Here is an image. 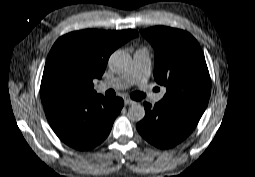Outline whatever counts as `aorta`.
<instances>
[{
  "instance_id": "aorta-1",
  "label": "aorta",
  "mask_w": 255,
  "mask_h": 177,
  "mask_svg": "<svg viewBox=\"0 0 255 177\" xmlns=\"http://www.w3.org/2000/svg\"><path fill=\"white\" fill-rule=\"evenodd\" d=\"M132 58L130 54L124 50H116L109 58V65L116 71L121 72L130 65ZM127 116L132 122H139L145 117V109L138 103H133L129 109Z\"/></svg>"
}]
</instances>
